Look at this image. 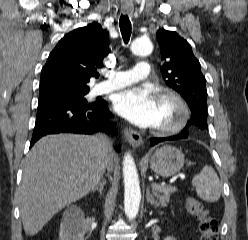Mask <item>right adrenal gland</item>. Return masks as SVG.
<instances>
[{
  "mask_svg": "<svg viewBox=\"0 0 248 240\" xmlns=\"http://www.w3.org/2000/svg\"><path fill=\"white\" fill-rule=\"evenodd\" d=\"M105 184H106L105 179H101L98 185L94 189H92V192L98 191L99 194H102Z\"/></svg>",
  "mask_w": 248,
  "mask_h": 240,
  "instance_id": "right-adrenal-gland-1",
  "label": "right adrenal gland"
}]
</instances>
